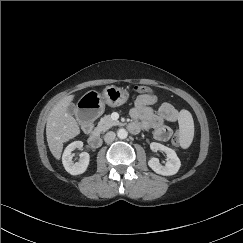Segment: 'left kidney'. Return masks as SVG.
I'll return each mask as SVG.
<instances>
[{
    "label": "left kidney",
    "instance_id": "obj_1",
    "mask_svg": "<svg viewBox=\"0 0 243 243\" xmlns=\"http://www.w3.org/2000/svg\"><path fill=\"white\" fill-rule=\"evenodd\" d=\"M150 148L152 151H162L167 155V162L165 164V166L161 165L159 162L158 158H151L148 161V165L149 167L156 172L157 174H161L164 176H171L174 175L178 172L180 166H181V162L176 154V152L171 149L168 148L160 143H156V142H152L150 144Z\"/></svg>",
    "mask_w": 243,
    "mask_h": 243
}]
</instances>
